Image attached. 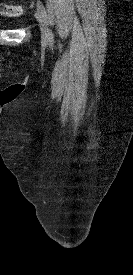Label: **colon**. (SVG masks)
Returning a JSON list of instances; mask_svg holds the SVG:
<instances>
[{
	"mask_svg": "<svg viewBox=\"0 0 133 275\" xmlns=\"http://www.w3.org/2000/svg\"><path fill=\"white\" fill-rule=\"evenodd\" d=\"M22 13V8L19 5L10 4V5H0V14L6 16H18Z\"/></svg>",
	"mask_w": 133,
	"mask_h": 275,
	"instance_id": "5ec220e1",
	"label": "colon"
}]
</instances>
